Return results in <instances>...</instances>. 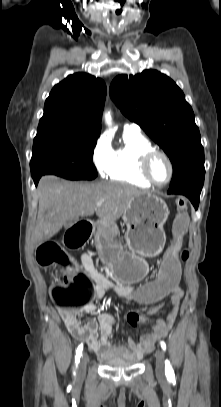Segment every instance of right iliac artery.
I'll return each instance as SVG.
<instances>
[{
  "mask_svg": "<svg viewBox=\"0 0 221 407\" xmlns=\"http://www.w3.org/2000/svg\"><path fill=\"white\" fill-rule=\"evenodd\" d=\"M82 350H83V344L81 343L77 350H76V356H75V364L76 366L78 365L79 361H80V357L82 355Z\"/></svg>",
  "mask_w": 221,
  "mask_h": 407,
  "instance_id": "right-iliac-artery-1",
  "label": "right iliac artery"
}]
</instances>
